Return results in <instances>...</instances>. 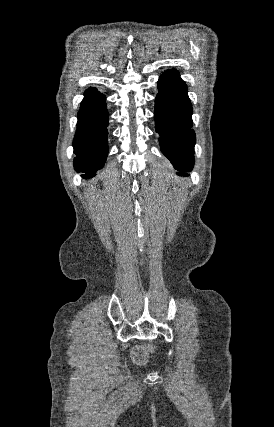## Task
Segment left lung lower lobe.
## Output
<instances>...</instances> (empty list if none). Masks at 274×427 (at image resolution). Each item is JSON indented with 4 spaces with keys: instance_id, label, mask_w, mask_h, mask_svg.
<instances>
[{
    "instance_id": "0a47b994",
    "label": "left lung lower lobe",
    "mask_w": 274,
    "mask_h": 427,
    "mask_svg": "<svg viewBox=\"0 0 274 427\" xmlns=\"http://www.w3.org/2000/svg\"><path fill=\"white\" fill-rule=\"evenodd\" d=\"M155 100L156 131L160 134L163 154L174 168L188 172L194 163L195 133L192 127V107L185 83L179 73L172 69L159 79ZM187 176L185 173H178Z\"/></svg>"
}]
</instances>
